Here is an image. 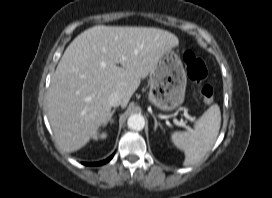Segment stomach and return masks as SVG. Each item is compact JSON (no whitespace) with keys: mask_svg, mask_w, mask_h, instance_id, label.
Wrapping results in <instances>:
<instances>
[{"mask_svg":"<svg viewBox=\"0 0 272 198\" xmlns=\"http://www.w3.org/2000/svg\"><path fill=\"white\" fill-rule=\"evenodd\" d=\"M149 101L163 111L180 106L185 97L186 73L179 55L169 49L164 52L149 75Z\"/></svg>","mask_w":272,"mask_h":198,"instance_id":"1","label":"stomach"}]
</instances>
